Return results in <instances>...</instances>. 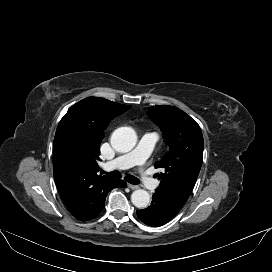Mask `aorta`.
I'll list each match as a JSON object with an SVG mask.
<instances>
[{
    "label": "aorta",
    "instance_id": "1",
    "mask_svg": "<svg viewBox=\"0 0 272 272\" xmlns=\"http://www.w3.org/2000/svg\"><path fill=\"white\" fill-rule=\"evenodd\" d=\"M137 142V135L131 127L117 128L111 135L112 147L120 153L131 151ZM150 194L143 189L133 191L131 195L132 204L140 209L148 207L150 203Z\"/></svg>",
    "mask_w": 272,
    "mask_h": 272
}]
</instances>
